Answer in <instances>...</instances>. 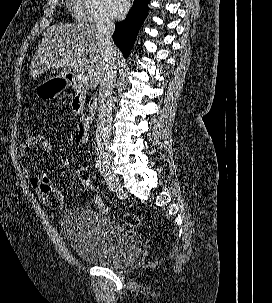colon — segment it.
<instances>
[{
  "label": "colon",
  "instance_id": "colon-1",
  "mask_svg": "<svg viewBox=\"0 0 272 303\" xmlns=\"http://www.w3.org/2000/svg\"><path fill=\"white\" fill-rule=\"evenodd\" d=\"M34 147L36 150L49 153L53 149V142L49 136L46 134H37L35 135V143ZM77 175L79 182L84 188L86 195L89 199L102 211L104 212H112L110 208L104 205L97 197L94 196L92 191L91 177L90 171L85 165H79L77 168ZM44 203L51 209H59L63 204L62 196L57 191H51L47 195L43 197ZM122 219L124 222L133 227H138L142 225L141 219L134 214L125 213L122 215Z\"/></svg>",
  "mask_w": 272,
  "mask_h": 303
}]
</instances>
